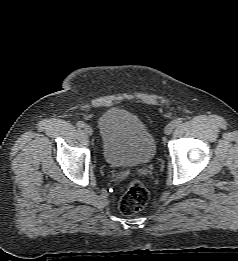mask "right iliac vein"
<instances>
[{
    "instance_id": "1",
    "label": "right iliac vein",
    "mask_w": 238,
    "mask_h": 261,
    "mask_svg": "<svg viewBox=\"0 0 238 261\" xmlns=\"http://www.w3.org/2000/svg\"><path fill=\"white\" fill-rule=\"evenodd\" d=\"M83 129L87 135L91 136L93 134V129L91 128V126L86 124L84 125Z\"/></svg>"
}]
</instances>
